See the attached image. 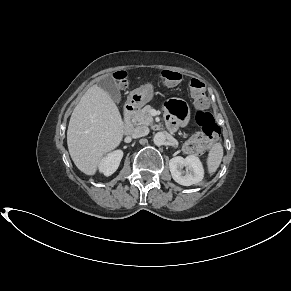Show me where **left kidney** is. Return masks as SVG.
<instances>
[{
    "label": "left kidney",
    "mask_w": 291,
    "mask_h": 291,
    "mask_svg": "<svg viewBox=\"0 0 291 291\" xmlns=\"http://www.w3.org/2000/svg\"><path fill=\"white\" fill-rule=\"evenodd\" d=\"M169 169L175 182L183 186L197 184L204 176L203 165L195 155H189L186 158L177 156L170 159Z\"/></svg>",
    "instance_id": "left-kidney-1"
}]
</instances>
